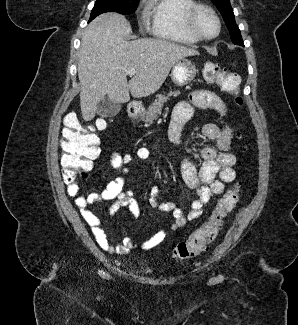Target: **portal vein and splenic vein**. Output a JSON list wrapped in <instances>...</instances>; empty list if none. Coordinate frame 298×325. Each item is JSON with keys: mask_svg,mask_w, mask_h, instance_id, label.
Listing matches in <instances>:
<instances>
[{"mask_svg": "<svg viewBox=\"0 0 298 325\" xmlns=\"http://www.w3.org/2000/svg\"><path fill=\"white\" fill-rule=\"evenodd\" d=\"M135 72V68H128V70H126V74H129V76H132V74H135Z\"/></svg>", "mask_w": 298, "mask_h": 325, "instance_id": "1", "label": "portal vein and splenic vein"}]
</instances>
